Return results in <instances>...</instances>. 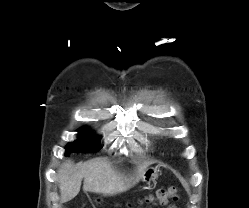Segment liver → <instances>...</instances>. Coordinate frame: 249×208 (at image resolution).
<instances>
[{"mask_svg": "<svg viewBox=\"0 0 249 208\" xmlns=\"http://www.w3.org/2000/svg\"><path fill=\"white\" fill-rule=\"evenodd\" d=\"M148 163L138 166L133 176H125L102 158H96L83 164L74 165L65 161L58 169L59 188L63 203L72 200L83 190L103 195H116L132 187L147 168Z\"/></svg>", "mask_w": 249, "mask_h": 208, "instance_id": "1", "label": "liver"}]
</instances>
